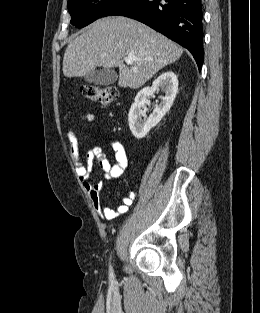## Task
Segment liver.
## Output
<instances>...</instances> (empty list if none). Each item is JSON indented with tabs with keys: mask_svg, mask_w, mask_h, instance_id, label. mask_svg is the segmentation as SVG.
<instances>
[{
	"mask_svg": "<svg viewBox=\"0 0 260 313\" xmlns=\"http://www.w3.org/2000/svg\"><path fill=\"white\" fill-rule=\"evenodd\" d=\"M182 53L181 47L143 23L122 16L106 17L70 41L63 58V74L81 77L97 67H118V85L137 89ZM129 56L137 58L131 67L123 62Z\"/></svg>",
	"mask_w": 260,
	"mask_h": 313,
	"instance_id": "6515ba94",
	"label": "liver"
}]
</instances>
